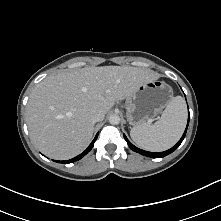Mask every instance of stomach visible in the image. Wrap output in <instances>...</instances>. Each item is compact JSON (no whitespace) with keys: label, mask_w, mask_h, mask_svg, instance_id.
I'll return each mask as SVG.
<instances>
[{"label":"stomach","mask_w":221,"mask_h":221,"mask_svg":"<svg viewBox=\"0 0 221 221\" xmlns=\"http://www.w3.org/2000/svg\"><path fill=\"white\" fill-rule=\"evenodd\" d=\"M173 98V89L163 81L141 84L126 100V116L133 127L155 118Z\"/></svg>","instance_id":"1"}]
</instances>
